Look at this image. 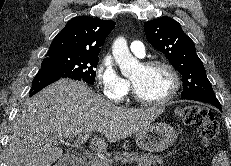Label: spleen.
<instances>
[{"instance_id": "obj_1", "label": "spleen", "mask_w": 231, "mask_h": 166, "mask_svg": "<svg viewBox=\"0 0 231 166\" xmlns=\"http://www.w3.org/2000/svg\"><path fill=\"white\" fill-rule=\"evenodd\" d=\"M212 166H230L229 160L224 151L218 152L212 160Z\"/></svg>"}]
</instances>
